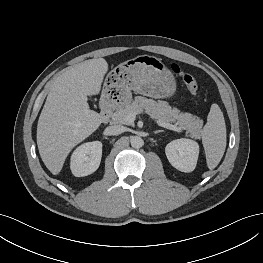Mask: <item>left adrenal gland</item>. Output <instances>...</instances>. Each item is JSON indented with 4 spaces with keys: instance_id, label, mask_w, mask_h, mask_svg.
<instances>
[{
    "instance_id": "a2214340",
    "label": "left adrenal gland",
    "mask_w": 263,
    "mask_h": 263,
    "mask_svg": "<svg viewBox=\"0 0 263 263\" xmlns=\"http://www.w3.org/2000/svg\"><path fill=\"white\" fill-rule=\"evenodd\" d=\"M160 132H163V130H156V131H154V134H158Z\"/></svg>"
}]
</instances>
